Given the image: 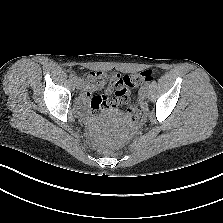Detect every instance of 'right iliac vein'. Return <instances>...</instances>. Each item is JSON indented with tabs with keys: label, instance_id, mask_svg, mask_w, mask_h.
<instances>
[{
	"label": "right iliac vein",
	"instance_id": "obj_1",
	"mask_svg": "<svg viewBox=\"0 0 223 223\" xmlns=\"http://www.w3.org/2000/svg\"><path fill=\"white\" fill-rule=\"evenodd\" d=\"M76 87L77 89H81L82 88V82L80 79H76Z\"/></svg>",
	"mask_w": 223,
	"mask_h": 223
}]
</instances>
